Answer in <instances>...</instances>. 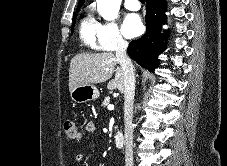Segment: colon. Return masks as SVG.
Wrapping results in <instances>:
<instances>
[{
	"label": "colon",
	"instance_id": "5ec220e1",
	"mask_svg": "<svg viewBox=\"0 0 227 166\" xmlns=\"http://www.w3.org/2000/svg\"><path fill=\"white\" fill-rule=\"evenodd\" d=\"M63 132L68 141H76L80 138L79 129L73 121H66L64 123Z\"/></svg>",
	"mask_w": 227,
	"mask_h": 166
}]
</instances>
